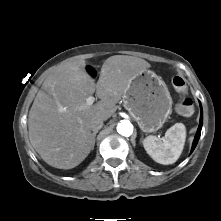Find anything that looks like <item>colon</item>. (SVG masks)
Masks as SVG:
<instances>
[{"instance_id": "obj_1", "label": "colon", "mask_w": 221, "mask_h": 221, "mask_svg": "<svg viewBox=\"0 0 221 221\" xmlns=\"http://www.w3.org/2000/svg\"><path fill=\"white\" fill-rule=\"evenodd\" d=\"M85 74L87 75L88 79H96L97 78V71L94 70L93 66H86L85 67ZM172 86L175 89L176 92L183 94L186 92L187 86L184 81V79L180 76H175L172 79ZM177 111L180 115L184 117H189L194 112V105L193 101L189 98L184 99L182 102H180L177 106Z\"/></svg>"}]
</instances>
